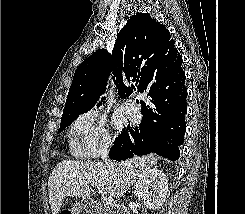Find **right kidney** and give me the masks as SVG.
Listing matches in <instances>:
<instances>
[{
	"mask_svg": "<svg viewBox=\"0 0 245 214\" xmlns=\"http://www.w3.org/2000/svg\"><path fill=\"white\" fill-rule=\"evenodd\" d=\"M168 192V181L162 170L150 169L138 178L134 194L144 201L146 208L159 210Z\"/></svg>",
	"mask_w": 245,
	"mask_h": 214,
	"instance_id": "ca27d5eb",
	"label": "right kidney"
}]
</instances>
